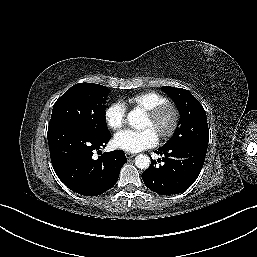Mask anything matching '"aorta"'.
<instances>
[{"mask_svg":"<svg viewBox=\"0 0 257 257\" xmlns=\"http://www.w3.org/2000/svg\"><path fill=\"white\" fill-rule=\"evenodd\" d=\"M143 114L138 111V110H132L131 112L128 113L127 116V121L128 124L136 129H141L143 126ZM150 158L147 155H143V154H139L136 158H135V165L137 168L139 169H148L150 166Z\"/></svg>","mask_w":257,"mask_h":257,"instance_id":"1","label":"aorta"}]
</instances>
